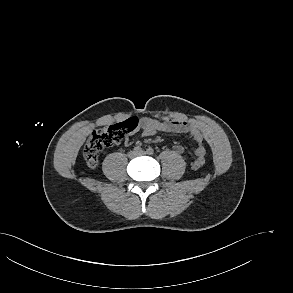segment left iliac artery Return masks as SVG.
<instances>
[{"label": "left iliac artery", "instance_id": "1", "mask_svg": "<svg viewBox=\"0 0 293 293\" xmlns=\"http://www.w3.org/2000/svg\"><path fill=\"white\" fill-rule=\"evenodd\" d=\"M146 152L149 155H153L154 154V150L151 147L147 148Z\"/></svg>", "mask_w": 293, "mask_h": 293}]
</instances>
